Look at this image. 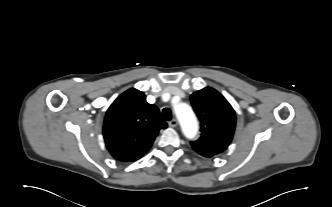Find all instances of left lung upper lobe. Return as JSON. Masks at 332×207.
Segmentation results:
<instances>
[{
	"mask_svg": "<svg viewBox=\"0 0 332 207\" xmlns=\"http://www.w3.org/2000/svg\"><path fill=\"white\" fill-rule=\"evenodd\" d=\"M190 100L201 127V136L191 142L192 148L204 157L222 153L229 146L235 130L233 108L211 87L193 93Z\"/></svg>",
	"mask_w": 332,
	"mask_h": 207,
	"instance_id": "1",
	"label": "left lung upper lobe"
}]
</instances>
